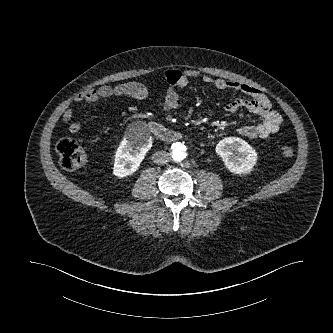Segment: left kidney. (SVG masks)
<instances>
[{"mask_svg": "<svg viewBox=\"0 0 333 333\" xmlns=\"http://www.w3.org/2000/svg\"><path fill=\"white\" fill-rule=\"evenodd\" d=\"M215 151L223 159L226 168L234 174L249 173L257 161V152L238 137L222 139L216 145Z\"/></svg>", "mask_w": 333, "mask_h": 333, "instance_id": "left-kidney-1", "label": "left kidney"}]
</instances>
